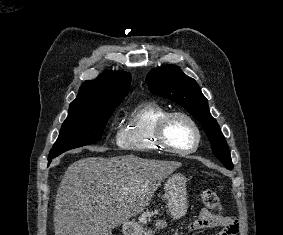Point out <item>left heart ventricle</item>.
<instances>
[{"mask_svg": "<svg viewBox=\"0 0 283 235\" xmlns=\"http://www.w3.org/2000/svg\"><path fill=\"white\" fill-rule=\"evenodd\" d=\"M166 137L171 146L177 149L191 148L195 143L192 126L182 118H174L166 129Z\"/></svg>", "mask_w": 283, "mask_h": 235, "instance_id": "b2bd125f", "label": "left heart ventricle"}]
</instances>
